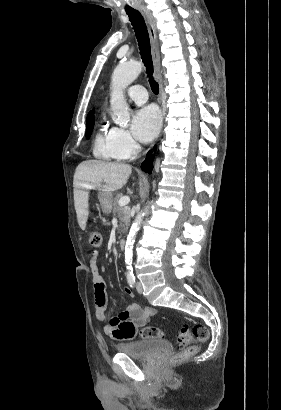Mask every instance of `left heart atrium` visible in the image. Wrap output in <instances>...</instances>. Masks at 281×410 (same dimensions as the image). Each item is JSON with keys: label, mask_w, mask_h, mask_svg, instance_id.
<instances>
[{"label": "left heart atrium", "mask_w": 281, "mask_h": 410, "mask_svg": "<svg viewBox=\"0 0 281 410\" xmlns=\"http://www.w3.org/2000/svg\"><path fill=\"white\" fill-rule=\"evenodd\" d=\"M160 125V112L150 105L136 111L132 120V131L138 140L149 142L157 135Z\"/></svg>", "instance_id": "left-heart-atrium-1"}]
</instances>
